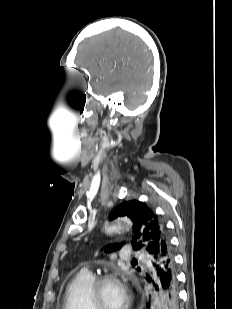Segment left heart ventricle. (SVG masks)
<instances>
[{
    "mask_svg": "<svg viewBox=\"0 0 232 309\" xmlns=\"http://www.w3.org/2000/svg\"><path fill=\"white\" fill-rule=\"evenodd\" d=\"M99 300L103 309H124L127 293L120 283L108 282L101 287Z\"/></svg>",
    "mask_w": 232,
    "mask_h": 309,
    "instance_id": "b2bd125f",
    "label": "left heart ventricle"
}]
</instances>
